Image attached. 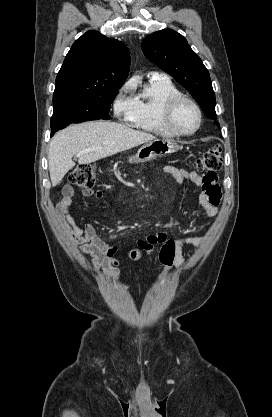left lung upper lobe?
I'll use <instances>...</instances> for the list:
<instances>
[{
	"label": "left lung upper lobe",
	"mask_w": 272,
	"mask_h": 417,
	"mask_svg": "<svg viewBox=\"0 0 272 417\" xmlns=\"http://www.w3.org/2000/svg\"><path fill=\"white\" fill-rule=\"evenodd\" d=\"M141 48L150 61L191 93L208 118H217L209 72L182 35L172 29L160 30L147 36Z\"/></svg>",
	"instance_id": "5c2ea615"
}]
</instances>
